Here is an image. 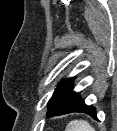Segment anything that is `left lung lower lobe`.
I'll use <instances>...</instances> for the list:
<instances>
[{
  "instance_id": "left-lung-lower-lobe-1",
  "label": "left lung lower lobe",
  "mask_w": 117,
  "mask_h": 131,
  "mask_svg": "<svg viewBox=\"0 0 117 131\" xmlns=\"http://www.w3.org/2000/svg\"><path fill=\"white\" fill-rule=\"evenodd\" d=\"M71 112H83L90 115L94 119H97L95 108L92 106H87L80 97L75 96L74 102L71 103L62 114H67Z\"/></svg>"
}]
</instances>
